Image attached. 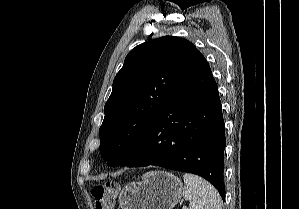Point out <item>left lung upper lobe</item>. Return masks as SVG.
Instances as JSON below:
<instances>
[{
	"instance_id": "5c2ea615",
	"label": "left lung upper lobe",
	"mask_w": 299,
	"mask_h": 209,
	"mask_svg": "<svg viewBox=\"0 0 299 209\" xmlns=\"http://www.w3.org/2000/svg\"><path fill=\"white\" fill-rule=\"evenodd\" d=\"M208 65L195 45L164 36L132 49L113 81L100 127V152L124 165L163 104Z\"/></svg>"
}]
</instances>
